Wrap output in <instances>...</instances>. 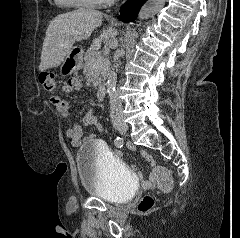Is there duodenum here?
<instances>
[{
	"mask_svg": "<svg viewBox=\"0 0 240 238\" xmlns=\"http://www.w3.org/2000/svg\"><path fill=\"white\" fill-rule=\"evenodd\" d=\"M106 94V86L105 85H100L97 91V100L101 101L105 97Z\"/></svg>",
	"mask_w": 240,
	"mask_h": 238,
	"instance_id": "obj_1",
	"label": "duodenum"
}]
</instances>
